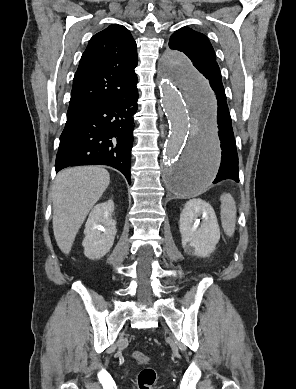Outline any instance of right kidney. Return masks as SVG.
Wrapping results in <instances>:
<instances>
[{
  "label": "right kidney",
  "mask_w": 296,
  "mask_h": 389,
  "mask_svg": "<svg viewBox=\"0 0 296 389\" xmlns=\"http://www.w3.org/2000/svg\"><path fill=\"white\" fill-rule=\"evenodd\" d=\"M113 200L97 204L91 210L85 224L83 240L84 255L89 259H100L113 246L117 233L116 221L112 218Z\"/></svg>",
  "instance_id": "1"
}]
</instances>
